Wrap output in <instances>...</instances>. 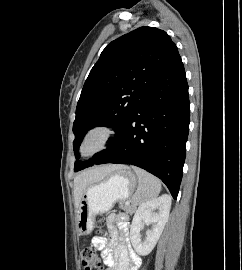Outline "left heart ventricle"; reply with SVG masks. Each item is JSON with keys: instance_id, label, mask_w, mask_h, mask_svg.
Instances as JSON below:
<instances>
[{"instance_id": "b2bd125f", "label": "left heart ventricle", "mask_w": 242, "mask_h": 270, "mask_svg": "<svg viewBox=\"0 0 242 270\" xmlns=\"http://www.w3.org/2000/svg\"><path fill=\"white\" fill-rule=\"evenodd\" d=\"M98 142H99L98 136H93V137H91V138L87 141V143H86V145H85V147H84V153L87 154V153H90L91 151H93V150L97 147Z\"/></svg>"}]
</instances>
